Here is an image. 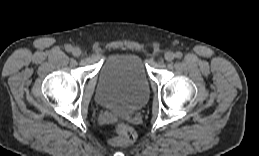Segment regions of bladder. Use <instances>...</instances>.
<instances>
[{"label":"bladder","mask_w":259,"mask_h":156,"mask_svg":"<svg viewBox=\"0 0 259 156\" xmlns=\"http://www.w3.org/2000/svg\"><path fill=\"white\" fill-rule=\"evenodd\" d=\"M150 78L143 59L134 53L110 55L98 79L96 99L103 105L133 111L148 99Z\"/></svg>","instance_id":"bladder-1"}]
</instances>
